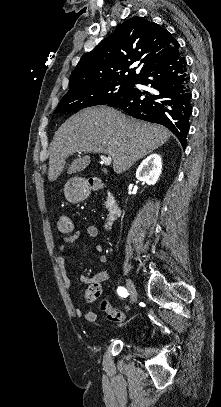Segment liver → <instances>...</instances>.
<instances>
[{"label":"liver","instance_id":"1","mask_svg":"<svg viewBox=\"0 0 221 407\" xmlns=\"http://www.w3.org/2000/svg\"><path fill=\"white\" fill-rule=\"evenodd\" d=\"M170 136L171 132L161 125L130 118L111 107L84 109L67 119L55 133L49 148L48 179L55 181L63 173L66 159L76 152L107 154L113 159V171L121 174ZM90 162V156H79L67 173L81 172Z\"/></svg>","mask_w":221,"mask_h":407}]
</instances>
